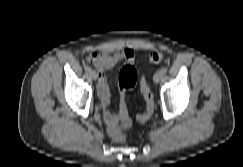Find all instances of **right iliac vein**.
<instances>
[{
  "mask_svg": "<svg viewBox=\"0 0 243 167\" xmlns=\"http://www.w3.org/2000/svg\"><path fill=\"white\" fill-rule=\"evenodd\" d=\"M89 75L90 77L93 79V80H96L97 79V73L94 71V70H90L89 71Z\"/></svg>",
  "mask_w": 243,
  "mask_h": 167,
  "instance_id": "63e3f726",
  "label": "right iliac vein"
}]
</instances>
